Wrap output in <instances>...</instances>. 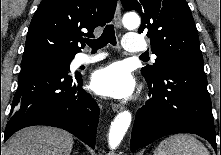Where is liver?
I'll use <instances>...</instances> for the list:
<instances>
[{
	"mask_svg": "<svg viewBox=\"0 0 221 155\" xmlns=\"http://www.w3.org/2000/svg\"><path fill=\"white\" fill-rule=\"evenodd\" d=\"M73 144L72 135L64 130L35 126L11 136L3 155H70Z\"/></svg>",
	"mask_w": 221,
	"mask_h": 155,
	"instance_id": "1",
	"label": "liver"
}]
</instances>
